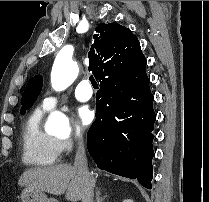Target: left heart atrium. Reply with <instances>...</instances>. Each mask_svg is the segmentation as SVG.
<instances>
[{
	"instance_id": "1",
	"label": "left heart atrium",
	"mask_w": 209,
	"mask_h": 202,
	"mask_svg": "<svg viewBox=\"0 0 209 202\" xmlns=\"http://www.w3.org/2000/svg\"><path fill=\"white\" fill-rule=\"evenodd\" d=\"M95 113L88 107L78 109L74 117V129L77 134H80L94 119Z\"/></svg>"
}]
</instances>
